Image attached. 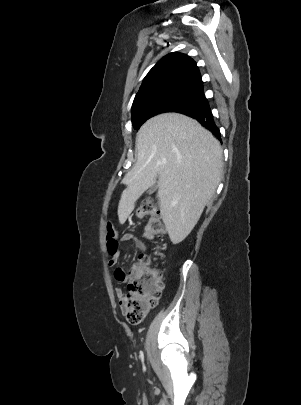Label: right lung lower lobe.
<instances>
[{"mask_svg": "<svg viewBox=\"0 0 301 405\" xmlns=\"http://www.w3.org/2000/svg\"><path fill=\"white\" fill-rule=\"evenodd\" d=\"M180 113L196 119L203 127L210 130L219 140H221L220 131L215 125L209 106L198 109L184 110Z\"/></svg>", "mask_w": 301, "mask_h": 405, "instance_id": "98d812e1", "label": "right lung lower lobe"}]
</instances>
